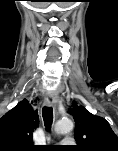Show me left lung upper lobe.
Listing matches in <instances>:
<instances>
[{
	"label": "left lung upper lobe",
	"mask_w": 118,
	"mask_h": 151,
	"mask_svg": "<svg viewBox=\"0 0 118 151\" xmlns=\"http://www.w3.org/2000/svg\"><path fill=\"white\" fill-rule=\"evenodd\" d=\"M75 119V139L79 151H118V137L102 117L76 103L69 109Z\"/></svg>",
	"instance_id": "5c2ea615"
}]
</instances>
